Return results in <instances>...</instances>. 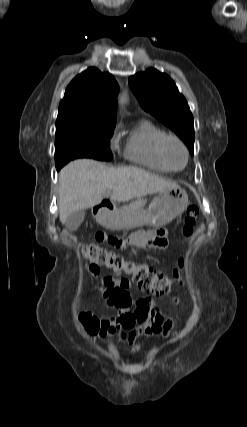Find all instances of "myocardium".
<instances>
[{"mask_svg": "<svg viewBox=\"0 0 247 427\" xmlns=\"http://www.w3.org/2000/svg\"><path fill=\"white\" fill-rule=\"evenodd\" d=\"M172 142H174V143H177L182 149H183V151H184V154H185V161H184V164L181 166V167H179V168H177V167H174L172 164H171V162H170V160H169V158H168V154H167V148H168V145L170 144V143H172ZM158 151H159V155H160V158H161V160L164 162V164L171 170V171H181V170H183L186 166H187V164H188V161H189V151H188V148H187V146L185 145V143L182 141V139H180L178 136H176V135H173V134H166V135H164L162 138H161V140H160V142H159V145H158Z\"/></svg>", "mask_w": 247, "mask_h": 427, "instance_id": "myocardium-1", "label": "myocardium"}]
</instances>
